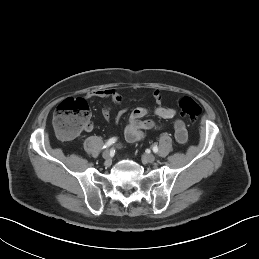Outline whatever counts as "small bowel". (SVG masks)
Segmentation results:
<instances>
[{
	"label": "small bowel",
	"mask_w": 259,
	"mask_h": 259,
	"mask_svg": "<svg viewBox=\"0 0 259 259\" xmlns=\"http://www.w3.org/2000/svg\"><path fill=\"white\" fill-rule=\"evenodd\" d=\"M152 97L154 101L157 103V107L153 110V114L161 119H172L176 116L175 109L171 107H166L161 105L162 95L159 90H154L152 92ZM87 99L92 98H110L114 106H119L122 103L123 96L122 94L114 89H98L91 91L86 94ZM103 117L105 120H110V108L106 107L102 111ZM150 114V110L145 107H137L135 108L128 118L127 125L124 130L125 140L129 143H134L142 139L143 131L152 130L156 128V123L150 119H144L146 116ZM93 128L92 123H90L86 127V131H91ZM175 129V139L176 141L184 145L188 141V134L185 127V124L181 120H176L174 123Z\"/></svg>",
	"instance_id": "c3829d8e"
}]
</instances>
